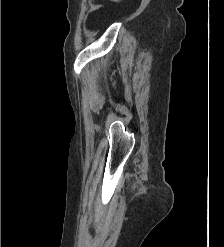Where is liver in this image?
Listing matches in <instances>:
<instances>
[{
	"label": "liver",
	"mask_w": 224,
	"mask_h": 247,
	"mask_svg": "<svg viewBox=\"0 0 224 247\" xmlns=\"http://www.w3.org/2000/svg\"><path fill=\"white\" fill-rule=\"evenodd\" d=\"M111 2H120V0H111Z\"/></svg>",
	"instance_id": "liver-1"
}]
</instances>
